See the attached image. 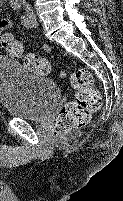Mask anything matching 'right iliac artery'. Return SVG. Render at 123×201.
Segmentation results:
<instances>
[{"instance_id":"1","label":"right iliac artery","mask_w":123,"mask_h":201,"mask_svg":"<svg viewBox=\"0 0 123 201\" xmlns=\"http://www.w3.org/2000/svg\"><path fill=\"white\" fill-rule=\"evenodd\" d=\"M10 5L14 10H19L21 7V4L18 0H11Z\"/></svg>"}]
</instances>
